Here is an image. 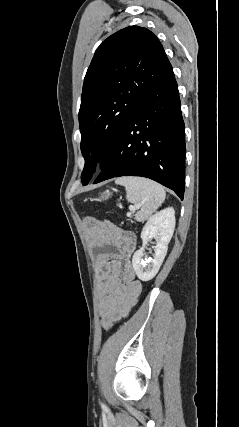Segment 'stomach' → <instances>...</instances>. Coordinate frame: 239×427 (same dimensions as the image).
I'll return each mask as SVG.
<instances>
[{
    "label": "stomach",
    "mask_w": 239,
    "mask_h": 427,
    "mask_svg": "<svg viewBox=\"0 0 239 427\" xmlns=\"http://www.w3.org/2000/svg\"><path fill=\"white\" fill-rule=\"evenodd\" d=\"M112 195V193H110L109 191H106L102 194V196L99 198V201L101 200H107L110 196Z\"/></svg>",
    "instance_id": "1"
}]
</instances>
